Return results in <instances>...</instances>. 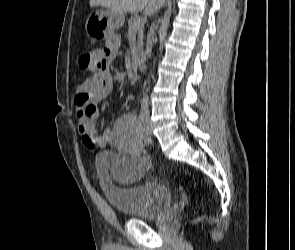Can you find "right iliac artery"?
Returning a JSON list of instances; mask_svg holds the SVG:
<instances>
[{"label":"right iliac artery","instance_id":"1","mask_svg":"<svg viewBox=\"0 0 295 250\" xmlns=\"http://www.w3.org/2000/svg\"><path fill=\"white\" fill-rule=\"evenodd\" d=\"M139 124H140V126L142 128V133H145V135H146V140L147 141H150V139H151L150 133L147 132V128H146V125H145V122H144V118L142 116V113H140V115H139Z\"/></svg>","mask_w":295,"mask_h":250}]
</instances>
